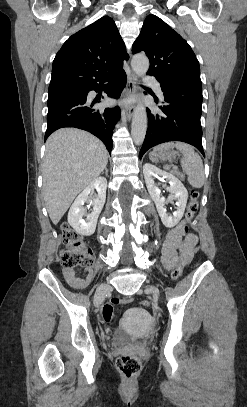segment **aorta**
Returning a JSON list of instances; mask_svg holds the SVG:
<instances>
[{"instance_id":"aorta-1","label":"aorta","mask_w":247,"mask_h":407,"mask_svg":"<svg viewBox=\"0 0 247 407\" xmlns=\"http://www.w3.org/2000/svg\"><path fill=\"white\" fill-rule=\"evenodd\" d=\"M131 67L137 76L145 75L149 68V60L145 54H135L131 60ZM147 129V113L142 103H139L134 112L132 119L131 134L135 144L143 143Z\"/></svg>"}]
</instances>
